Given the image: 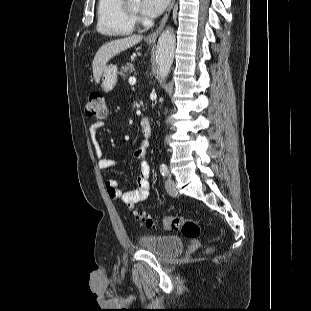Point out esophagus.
<instances>
[{"label":"esophagus","instance_id":"esophagus-1","mask_svg":"<svg viewBox=\"0 0 311 311\" xmlns=\"http://www.w3.org/2000/svg\"><path fill=\"white\" fill-rule=\"evenodd\" d=\"M174 3H175V0H171V3L169 5V7L167 8L166 12H165V15L163 16L161 22H160V25L159 27L151 34H149L147 37H146V40L147 41H155L158 37V35L160 34V32L162 31V29L164 28L165 26V23L170 15V12L174 6Z\"/></svg>","mask_w":311,"mask_h":311}]
</instances>
